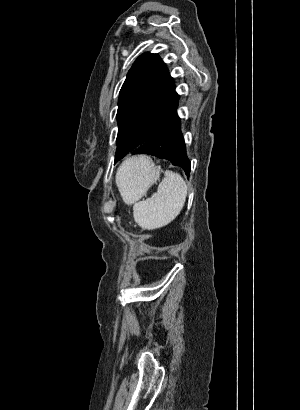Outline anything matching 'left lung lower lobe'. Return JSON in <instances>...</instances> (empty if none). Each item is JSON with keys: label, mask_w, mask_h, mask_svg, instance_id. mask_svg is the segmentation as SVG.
<instances>
[{"label": "left lung lower lobe", "mask_w": 300, "mask_h": 410, "mask_svg": "<svg viewBox=\"0 0 300 410\" xmlns=\"http://www.w3.org/2000/svg\"><path fill=\"white\" fill-rule=\"evenodd\" d=\"M175 107L160 125L152 132L147 141L133 154H149L164 158L175 166L181 167L186 175L190 173V161L180 129V118Z\"/></svg>", "instance_id": "0a47b994"}]
</instances>
